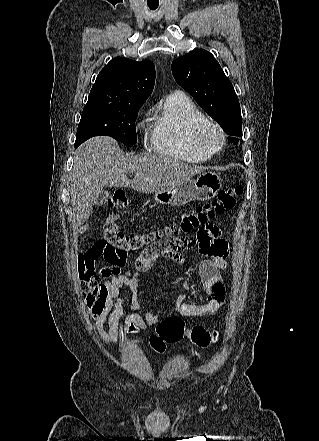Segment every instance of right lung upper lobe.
I'll return each instance as SVG.
<instances>
[{"mask_svg":"<svg viewBox=\"0 0 319 441\" xmlns=\"http://www.w3.org/2000/svg\"><path fill=\"white\" fill-rule=\"evenodd\" d=\"M155 83V66L149 60L113 58L98 74L87 104L142 106Z\"/></svg>","mask_w":319,"mask_h":441,"instance_id":"obj_1","label":"right lung upper lobe"}]
</instances>
